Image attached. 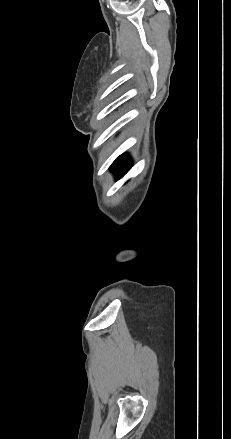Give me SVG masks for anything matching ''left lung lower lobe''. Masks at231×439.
<instances>
[{
  "label": "left lung lower lobe",
  "mask_w": 231,
  "mask_h": 439,
  "mask_svg": "<svg viewBox=\"0 0 231 439\" xmlns=\"http://www.w3.org/2000/svg\"><path fill=\"white\" fill-rule=\"evenodd\" d=\"M130 166L131 163L129 158L126 155H123L113 162L110 169L115 173L116 178L119 179L129 170Z\"/></svg>",
  "instance_id": "1"
}]
</instances>
